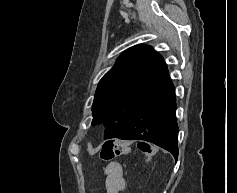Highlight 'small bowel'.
I'll return each mask as SVG.
<instances>
[{"instance_id": "obj_1", "label": "small bowel", "mask_w": 237, "mask_h": 193, "mask_svg": "<svg viewBox=\"0 0 237 193\" xmlns=\"http://www.w3.org/2000/svg\"><path fill=\"white\" fill-rule=\"evenodd\" d=\"M106 193H121L126 187L122 166L117 162L109 163L104 169Z\"/></svg>"}]
</instances>
